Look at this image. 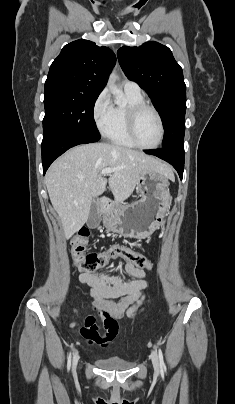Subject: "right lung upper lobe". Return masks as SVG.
<instances>
[{
	"mask_svg": "<svg viewBox=\"0 0 235 404\" xmlns=\"http://www.w3.org/2000/svg\"><path fill=\"white\" fill-rule=\"evenodd\" d=\"M115 62V54L107 47L84 39L71 42L51 64L45 87L61 86L99 95Z\"/></svg>",
	"mask_w": 235,
	"mask_h": 404,
	"instance_id": "1",
	"label": "right lung upper lobe"
}]
</instances>
